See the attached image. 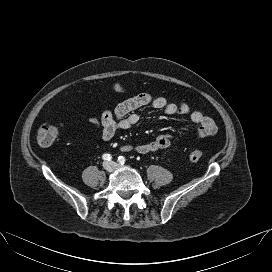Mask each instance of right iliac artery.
Here are the masks:
<instances>
[{
	"label": "right iliac artery",
	"instance_id": "right-iliac-artery-1",
	"mask_svg": "<svg viewBox=\"0 0 272 272\" xmlns=\"http://www.w3.org/2000/svg\"><path fill=\"white\" fill-rule=\"evenodd\" d=\"M112 156L108 153L103 154L102 159L105 161H110Z\"/></svg>",
	"mask_w": 272,
	"mask_h": 272
}]
</instances>
